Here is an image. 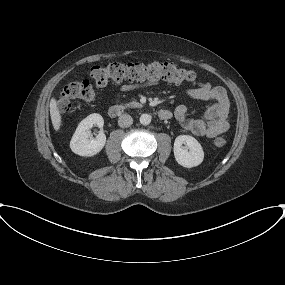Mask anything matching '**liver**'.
Listing matches in <instances>:
<instances>
[{
    "instance_id": "6515ba94",
    "label": "liver",
    "mask_w": 285,
    "mask_h": 285,
    "mask_svg": "<svg viewBox=\"0 0 285 285\" xmlns=\"http://www.w3.org/2000/svg\"><path fill=\"white\" fill-rule=\"evenodd\" d=\"M57 105H58L57 100L55 98H52L50 100V116H51L52 125L56 132L60 130L62 124V116L60 114Z\"/></svg>"
}]
</instances>
